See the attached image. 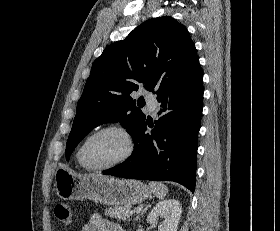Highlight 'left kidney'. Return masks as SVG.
<instances>
[{
    "label": "left kidney",
    "mask_w": 280,
    "mask_h": 231,
    "mask_svg": "<svg viewBox=\"0 0 280 231\" xmlns=\"http://www.w3.org/2000/svg\"><path fill=\"white\" fill-rule=\"evenodd\" d=\"M181 213L182 207L179 199H163L151 209L147 215V221L157 225L159 219H162L158 231H177Z\"/></svg>",
    "instance_id": "1"
}]
</instances>
